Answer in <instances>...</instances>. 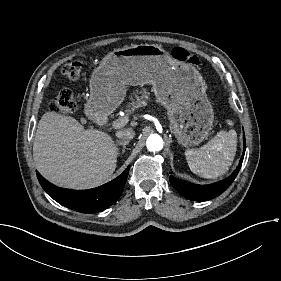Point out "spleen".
Returning <instances> with one entry per match:
<instances>
[{
    "label": "spleen",
    "instance_id": "spleen-1",
    "mask_svg": "<svg viewBox=\"0 0 281 281\" xmlns=\"http://www.w3.org/2000/svg\"><path fill=\"white\" fill-rule=\"evenodd\" d=\"M225 124L233 127L235 122L226 119ZM238 144L236 130L221 131L200 149L185 151L191 171L205 179H216L224 176L232 166Z\"/></svg>",
    "mask_w": 281,
    "mask_h": 281
}]
</instances>
